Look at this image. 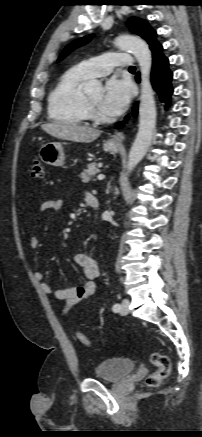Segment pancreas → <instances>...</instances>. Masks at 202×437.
<instances>
[{
    "label": "pancreas",
    "instance_id": "obj_1",
    "mask_svg": "<svg viewBox=\"0 0 202 437\" xmlns=\"http://www.w3.org/2000/svg\"><path fill=\"white\" fill-rule=\"evenodd\" d=\"M99 168L96 163H90L87 165V169L83 170V172L80 174V178L82 179V182L88 183L90 180H94L93 178L97 173H99Z\"/></svg>",
    "mask_w": 202,
    "mask_h": 437
}]
</instances>
